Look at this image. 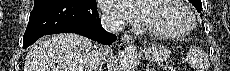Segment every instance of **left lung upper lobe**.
Here are the masks:
<instances>
[{
    "mask_svg": "<svg viewBox=\"0 0 230 71\" xmlns=\"http://www.w3.org/2000/svg\"><path fill=\"white\" fill-rule=\"evenodd\" d=\"M189 2L192 3V5H194L196 7L198 12H200L202 10L201 0H189Z\"/></svg>",
    "mask_w": 230,
    "mask_h": 71,
    "instance_id": "5c2ea615",
    "label": "left lung upper lobe"
}]
</instances>
